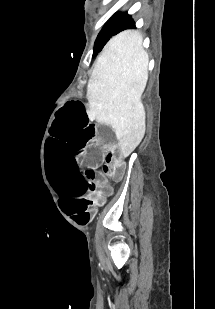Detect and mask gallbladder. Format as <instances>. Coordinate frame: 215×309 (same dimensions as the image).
<instances>
[{"instance_id":"1","label":"gallbladder","mask_w":215,"mask_h":309,"mask_svg":"<svg viewBox=\"0 0 215 309\" xmlns=\"http://www.w3.org/2000/svg\"><path fill=\"white\" fill-rule=\"evenodd\" d=\"M95 130L98 136H103L106 144H112L115 140V129H110L109 125H96Z\"/></svg>"}]
</instances>
